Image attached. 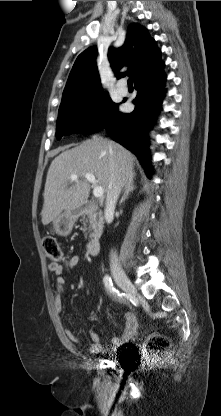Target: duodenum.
Instances as JSON below:
<instances>
[{"mask_svg":"<svg viewBox=\"0 0 221 416\" xmlns=\"http://www.w3.org/2000/svg\"><path fill=\"white\" fill-rule=\"evenodd\" d=\"M96 206L93 202H84L83 204L73 208L71 210V215L78 216L80 215L84 210H92L95 209ZM101 245V237L100 236H94L90 239V241L87 244V253L92 256H96L99 253Z\"/></svg>","mask_w":221,"mask_h":416,"instance_id":"1","label":"duodenum"}]
</instances>
